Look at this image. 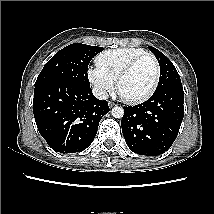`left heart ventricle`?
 I'll use <instances>...</instances> for the list:
<instances>
[{"label": "left heart ventricle", "mask_w": 214, "mask_h": 214, "mask_svg": "<svg viewBox=\"0 0 214 214\" xmlns=\"http://www.w3.org/2000/svg\"><path fill=\"white\" fill-rule=\"evenodd\" d=\"M155 68L153 62L146 58L123 79L120 85L121 94L127 98H137L144 95L153 85Z\"/></svg>", "instance_id": "left-heart-ventricle-1"}]
</instances>
